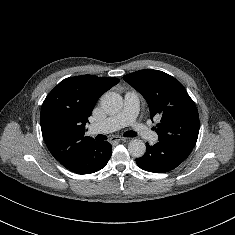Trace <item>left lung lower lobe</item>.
<instances>
[{
	"label": "left lung lower lobe",
	"mask_w": 235,
	"mask_h": 235,
	"mask_svg": "<svg viewBox=\"0 0 235 235\" xmlns=\"http://www.w3.org/2000/svg\"><path fill=\"white\" fill-rule=\"evenodd\" d=\"M186 145L160 141L153 146L146 143V153L136 159L137 165L149 172L164 173L176 168L191 153Z\"/></svg>",
	"instance_id": "left-lung-lower-lobe-1"
}]
</instances>
